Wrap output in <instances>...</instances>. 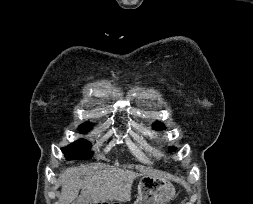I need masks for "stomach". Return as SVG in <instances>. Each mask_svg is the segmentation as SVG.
Returning a JSON list of instances; mask_svg holds the SVG:
<instances>
[{
    "instance_id": "obj_1",
    "label": "stomach",
    "mask_w": 253,
    "mask_h": 204,
    "mask_svg": "<svg viewBox=\"0 0 253 204\" xmlns=\"http://www.w3.org/2000/svg\"><path fill=\"white\" fill-rule=\"evenodd\" d=\"M175 195L171 182L154 173H146L139 181L138 197L134 204H167Z\"/></svg>"
}]
</instances>
